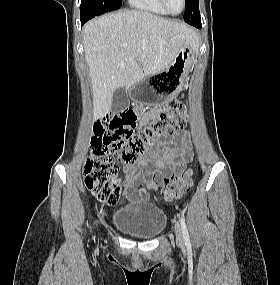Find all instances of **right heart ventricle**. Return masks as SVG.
<instances>
[{"label": "right heart ventricle", "mask_w": 280, "mask_h": 285, "mask_svg": "<svg viewBox=\"0 0 280 285\" xmlns=\"http://www.w3.org/2000/svg\"><path fill=\"white\" fill-rule=\"evenodd\" d=\"M130 4L140 10L159 15H168L169 12L162 5L161 0H129Z\"/></svg>", "instance_id": "obj_1"}]
</instances>
